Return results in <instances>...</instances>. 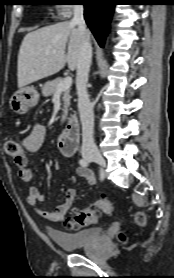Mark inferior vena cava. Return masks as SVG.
I'll list each match as a JSON object with an SVG mask.
<instances>
[{"instance_id":"1","label":"inferior vena cava","mask_w":174,"mask_h":278,"mask_svg":"<svg viewBox=\"0 0 174 278\" xmlns=\"http://www.w3.org/2000/svg\"><path fill=\"white\" fill-rule=\"evenodd\" d=\"M72 25H77L81 35L80 56L77 63L76 88L78 109L82 124V153H97L98 149L93 137L94 114L93 105L87 93V82L92 59V47L87 35L83 5H74Z\"/></svg>"}]
</instances>
